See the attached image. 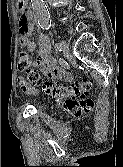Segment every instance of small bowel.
Wrapping results in <instances>:
<instances>
[{
	"label": "small bowel",
	"mask_w": 123,
	"mask_h": 167,
	"mask_svg": "<svg viewBox=\"0 0 123 167\" xmlns=\"http://www.w3.org/2000/svg\"><path fill=\"white\" fill-rule=\"evenodd\" d=\"M19 8L23 9L25 0H18ZM20 29V44L27 48L29 51L36 49V44L30 39V34L34 29L32 17L29 13H22L19 21ZM50 52V39L47 35L40 33L39 36V52L35 60L32 61L34 67H38L46 74L53 75L59 78H68L65 70L59 68L56 61L49 56ZM19 85L22 91L27 93H35V87L29 85L23 78L19 79Z\"/></svg>",
	"instance_id": "small-bowel-1"
}]
</instances>
